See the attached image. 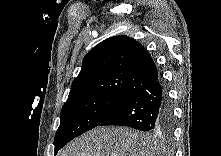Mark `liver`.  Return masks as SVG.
I'll return each instance as SVG.
<instances>
[{
    "instance_id": "1",
    "label": "liver",
    "mask_w": 221,
    "mask_h": 156,
    "mask_svg": "<svg viewBox=\"0 0 221 156\" xmlns=\"http://www.w3.org/2000/svg\"><path fill=\"white\" fill-rule=\"evenodd\" d=\"M156 136L127 127H97L66 145L58 156H160Z\"/></svg>"
}]
</instances>
